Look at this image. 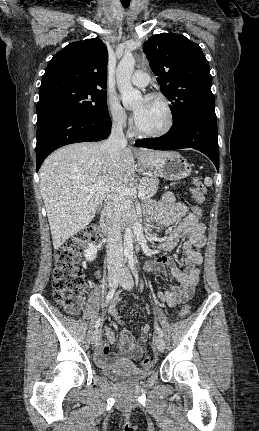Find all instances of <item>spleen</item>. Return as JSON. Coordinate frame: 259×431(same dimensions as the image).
I'll list each match as a JSON object with an SVG mask.
<instances>
[{
	"label": "spleen",
	"mask_w": 259,
	"mask_h": 431,
	"mask_svg": "<svg viewBox=\"0 0 259 431\" xmlns=\"http://www.w3.org/2000/svg\"><path fill=\"white\" fill-rule=\"evenodd\" d=\"M204 183L206 186H211L212 185V179L210 177H206L204 179Z\"/></svg>",
	"instance_id": "1"
}]
</instances>
